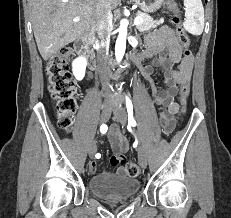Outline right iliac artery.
Segmentation results:
<instances>
[{
  "label": "right iliac artery",
  "mask_w": 231,
  "mask_h": 218,
  "mask_svg": "<svg viewBox=\"0 0 231 218\" xmlns=\"http://www.w3.org/2000/svg\"><path fill=\"white\" fill-rule=\"evenodd\" d=\"M107 129H108V127H107V125H105V124H102V125L100 126V132H101L102 134L106 133ZM100 157H101V154L97 153V154H96V158L99 159Z\"/></svg>",
  "instance_id": "1"
}]
</instances>
